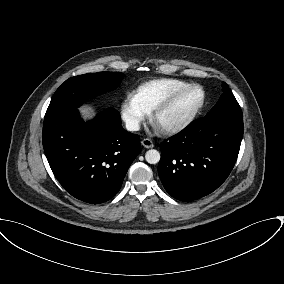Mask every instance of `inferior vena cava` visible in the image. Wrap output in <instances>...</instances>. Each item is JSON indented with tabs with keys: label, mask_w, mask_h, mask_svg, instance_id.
<instances>
[{
	"label": "inferior vena cava",
	"mask_w": 284,
	"mask_h": 284,
	"mask_svg": "<svg viewBox=\"0 0 284 284\" xmlns=\"http://www.w3.org/2000/svg\"><path fill=\"white\" fill-rule=\"evenodd\" d=\"M126 129L128 131H138L140 129L139 122L137 120H128L126 122Z\"/></svg>",
	"instance_id": "602c4592"
}]
</instances>
